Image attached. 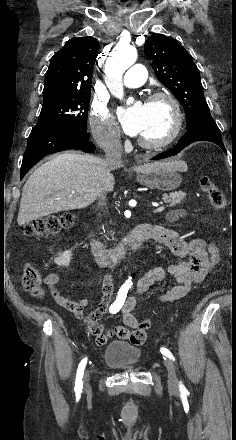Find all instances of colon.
I'll use <instances>...</instances> for the list:
<instances>
[{"mask_svg": "<svg viewBox=\"0 0 236 440\" xmlns=\"http://www.w3.org/2000/svg\"><path fill=\"white\" fill-rule=\"evenodd\" d=\"M202 192L208 197L213 208L217 211L223 210L226 206V198L218 186L208 177L202 176L199 180ZM75 222V215L72 212H62L51 214L43 218L36 219L24 227V233L33 237H44L54 235L69 228ZM21 283L25 290L34 296L42 295V277L40 272L33 266L27 265L23 268ZM89 321V320H87ZM151 326L149 319L141 322L139 330L147 331ZM145 335V338H146ZM144 339H130L136 342Z\"/></svg>", "mask_w": 236, "mask_h": 440, "instance_id": "1", "label": "colon"}]
</instances>
